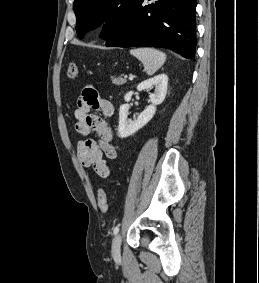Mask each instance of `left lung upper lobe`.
<instances>
[{"mask_svg": "<svg viewBox=\"0 0 259 283\" xmlns=\"http://www.w3.org/2000/svg\"><path fill=\"white\" fill-rule=\"evenodd\" d=\"M135 0H75L76 31L79 38L98 24L108 21L102 33L108 41L123 25Z\"/></svg>", "mask_w": 259, "mask_h": 283, "instance_id": "5c2ea615", "label": "left lung upper lobe"}]
</instances>
